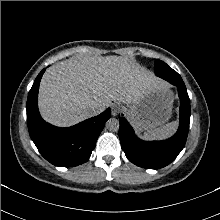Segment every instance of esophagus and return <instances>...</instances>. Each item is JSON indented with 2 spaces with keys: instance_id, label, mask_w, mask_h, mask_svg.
I'll return each instance as SVG.
<instances>
[{
  "instance_id": "1",
  "label": "esophagus",
  "mask_w": 220,
  "mask_h": 220,
  "mask_svg": "<svg viewBox=\"0 0 220 220\" xmlns=\"http://www.w3.org/2000/svg\"><path fill=\"white\" fill-rule=\"evenodd\" d=\"M111 113L113 116H117L120 113V105L115 104L112 106Z\"/></svg>"
}]
</instances>
